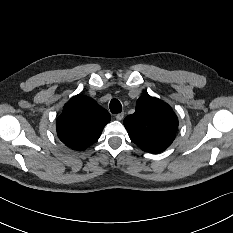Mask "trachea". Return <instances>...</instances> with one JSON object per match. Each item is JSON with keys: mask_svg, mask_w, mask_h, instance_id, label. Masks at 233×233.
Returning <instances> with one entry per match:
<instances>
[{"mask_svg": "<svg viewBox=\"0 0 233 233\" xmlns=\"http://www.w3.org/2000/svg\"><path fill=\"white\" fill-rule=\"evenodd\" d=\"M109 108L111 113H120L122 111V105L121 103L117 100V99H112L110 104H109Z\"/></svg>", "mask_w": 233, "mask_h": 233, "instance_id": "trachea-1", "label": "trachea"}]
</instances>
